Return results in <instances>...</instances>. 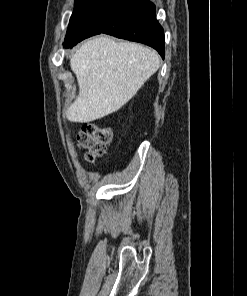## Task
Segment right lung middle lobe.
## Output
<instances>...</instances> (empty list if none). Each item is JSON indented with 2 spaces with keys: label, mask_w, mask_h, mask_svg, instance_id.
Wrapping results in <instances>:
<instances>
[{
  "label": "right lung middle lobe",
  "mask_w": 247,
  "mask_h": 296,
  "mask_svg": "<svg viewBox=\"0 0 247 296\" xmlns=\"http://www.w3.org/2000/svg\"><path fill=\"white\" fill-rule=\"evenodd\" d=\"M109 0H75L63 46L70 48L82 41L88 33V23L106 6Z\"/></svg>",
  "instance_id": "obj_1"
}]
</instances>
